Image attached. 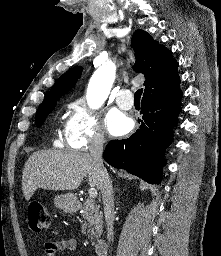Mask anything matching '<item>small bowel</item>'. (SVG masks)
<instances>
[{"label":"small bowel","instance_id":"small-bowel-1","mask_svg":"<svg viewBox=\"0 0 221 256\" xmlns=\"http://www.w3.org/2000/svg\"><path fill=\"white\" fill-rule=\"evenodd\" d=\"M78 247V241L74 238H66L59 241H49L44 244L43 256H55L60 251H74Z\"/></svg>","mask_w":221,"mask_h":256}]
</instances>
